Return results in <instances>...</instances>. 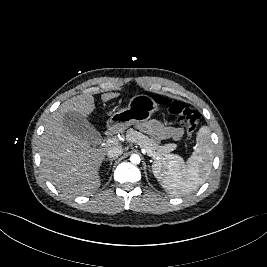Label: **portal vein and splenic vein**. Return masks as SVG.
Instances as JSON below:
<instances>
[{"label":"portal vein and splenic vein","mask_w":267,"mask_h":267,"mask_svg":"<svg viewBox=\"0 0 267 267\" xmlns=\"http://www.w3.org/2000/svg\"><path fill=\"white\" fill-rule=\"evenodd\" d=\"M118 141L119 140L117 138L113 137V138L107 139L106 140V144H118ZM142 153L147 154L149 156H152L151 152L146 150V149H144V148H142Z\"/></svg>","instance_id":"18ae733b"}]
</instances>
